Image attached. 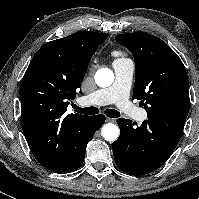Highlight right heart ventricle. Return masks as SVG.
<instances>
[{
  "instance_id": "right-heart-ventricle-1",
  "label": "right heart ventricle",
  "mask_w": 199,
  "mask_h": 199,
  "mask_svg": "<svg viewBox=\"0 0 199 199\" xmlns=\"http://www.w3.org/2000/svg\"><path fill=\"white\" fill-rule=\"evenodd\" d=\"M116 55H119V52H115Z\"/></svg>"
}]
</instances>
